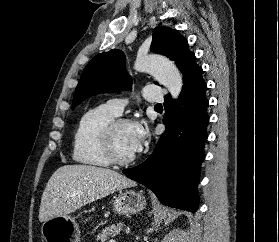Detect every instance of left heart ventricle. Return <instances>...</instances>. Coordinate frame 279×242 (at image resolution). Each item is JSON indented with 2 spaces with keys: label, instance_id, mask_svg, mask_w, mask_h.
<instances>
[{
  "label": "left heart ventricle",
  "instance_id": "obj_1",
  "mask_svg": "<svg viewBox=\"0 0 279 242\" xmlns=\"http://www.w3.org/2000/svg\"><path fill=\"white\" fill-rule=\"evenodd\" d=\"M134 131V125H124L117 130L115 134V149L119 156L128 158L135 154L133 149Z\"/></svg>",
  "mask_w": 279,
  "mask_h": 242
}]
</instances>
